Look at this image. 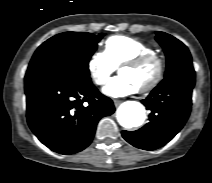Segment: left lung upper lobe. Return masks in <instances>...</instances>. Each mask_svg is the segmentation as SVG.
Masks as SVG:
<instances>
[{
    "instance_id": "left-lung-upper-lobe-1",
    "label": "left lung upper lobe",
    "mask_w": 212,
    "mask_h": 183,
    "mask_svg": "<svg viewBox=\"0 0 212 183\" xmlns=\"http://www.w3.org/2000/svg\"><path fill=\"white\" fill-rule=\"evenodd\" d=\"M156 34V40L163 47L167 59L165 76L179 66L192 61L188 48L181 41L164 32H156Z\"/></svg>"
}]
</instances>
